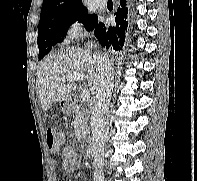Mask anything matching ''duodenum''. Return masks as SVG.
<instances>
[{
	"instance_id": "1",
	"label": "duodenum",
	"mask_w": 197,
	"mask_h": 181,
	"mask_svg": "<svg viewBox=\"0 0 197 181\" xmlns=\"http://www.w3.org/2000/svg\"><path fill=\"white\" fill-rule=\"evenodd\" d=\"M66 107L68 108V109H72V107H73V104L71 103V102H68L67 104H66ZM87 155L88 156H92L93 155V153H92V149L91 148H87Z\"/></svg>"
}]
</instances>
